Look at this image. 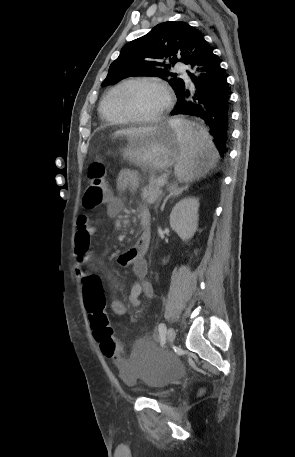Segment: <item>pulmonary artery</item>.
I'll use <instances>...</instances> for the list:
<instances>
[{
	"instance_id": "obj_1",
	"label": "pulmonary artery",
	"mask_w": 295,
	"mask_h": 457,
	"mask_svg": "<svg viewBox=\"0 0 295 457\" xmlns=\"http://www.w3.org/2000/svg\"><path fill=\"white\" fill-rule=\"evenodd\" d=\"M177 70L181 72L182 76L188 80V75L186 74L185 67L182 64H177L176 66Z\"/></svg>"
}]
</instances>
